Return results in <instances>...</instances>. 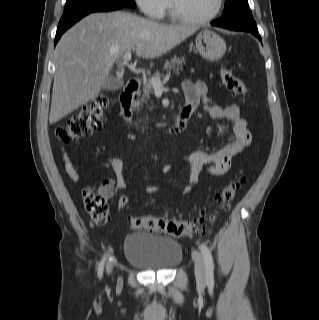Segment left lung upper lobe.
<instances>
[{
    "mask_svg": "<svg viewBox=\"0 0 319 320\" xmlns=\"http://www.w3.org/2000/svg\"><path fill=\"white\" fill-rule=\"evenodd\" d=\"M222 16H244L253 18L247 0H225V9Z\"/></svg>",
    "mask_w": 319,
    "mask_h": 320,
    "instance_id": "obj_1",
    "label": "left lung upper lobe"
}]
</instances>
